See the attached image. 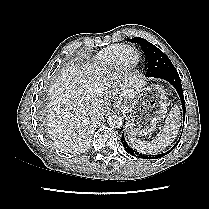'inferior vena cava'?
Returning <instances> with one entry per match:
<instances>
[{
  "label": "inferior vena cava",
  "mask_w": 209,
  "mask_h": 209,
  "mask_svg": "<svg viewBox=\"0 0 209 209\" xmlns=\"http://www.w3.org/2000/svg\"><path fill=\"white\" fill-rule=\"evenodd\" d=\"M102 115V109L101 108H95L94 109V116L98 117Z\"/></svg>",
  "instance_id": "inferior-vena-cava-1"
}]
</instances>
